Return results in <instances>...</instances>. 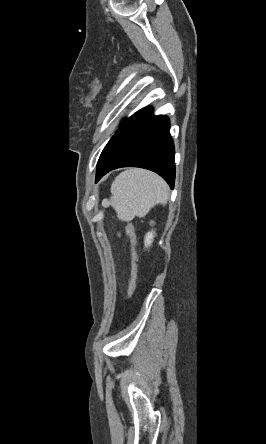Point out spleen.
Wrapping results in <instances>:
<instances>
[{
    "instance_id": "1",
    "label": "spleen",
    "mask_w": 266,
    "mask_h": 444,
    "mask_svg": "<svg viewBox=\"0 0 266 444\" xmlns=\"http://www.w3.org/2000/svg\"><path fill=\"white\" fill-rule=\"evenodd\" d=\"M111 205L119 219L144 217L157 204L165 203L168 186L153 172L131 168L120 173L111 185Z\"/></svg>"
}]
</instances>
